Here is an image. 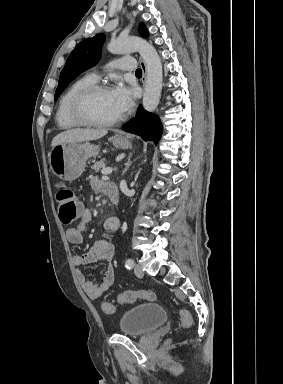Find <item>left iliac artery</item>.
<instances>
[{
	"label": "left iliac artery",
	"mask_w": 283,
	"mask_h": 384,
	"mask_svg": "<svg viewBox=\"0 0 283 384\" xmlns=\"http://www.w3.org/2000/svg\"><path fill=\"white\" fill-rule=\"evenodd\" d=\"M134 260L133 259H128L126 260L125 266L127 269H132L134 267Z\"/></svg>",
	"instance_id": "44dca946"
}]
</instances>
